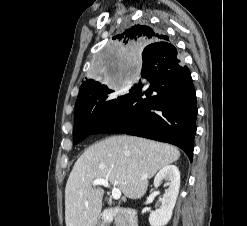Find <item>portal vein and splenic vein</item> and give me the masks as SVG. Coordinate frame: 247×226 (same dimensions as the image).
<instances>
[{
    "instance_id": "18ae733b",
    "label": "portal vein and splenic vein",
    "mask_w": 247,
    "mask_h": 226,
    "mask_svg": "<svg viewBox=\"0 0 247 226\" xmlns=\"http://www.w3.org/2000/svg\"><path fill=\"white\" fill-rule=\"evenodd\" d=\"M96 185H102V186L107 187V188L110 187L108 181L105 180V179H95L93 181V186H96ZM112 197H113L114 200L120 199V197H121L120 189H118L116 187H113L112 188Z\"/></svg>"
}]
</instances>
